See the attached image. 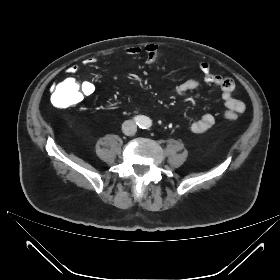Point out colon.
<instances>
[{"mask_svg":"<svg viewBox=\"0 0 280 280\" xmlns=\"http://www.w3.org/2000/svg\"><path fill=\"white\" fill-rule=\"evenodd\" d=\"M80 94L78 82L73 77L66 76L54 85L51 93V101L58 108H66L78 104L82 100ZM226 118L234 120L236 116L229 114Z\"/></svg>","mask_w":280,"mask_h":280,"instance_id":"5ec220e1","label":"colon"}]
</instances>
